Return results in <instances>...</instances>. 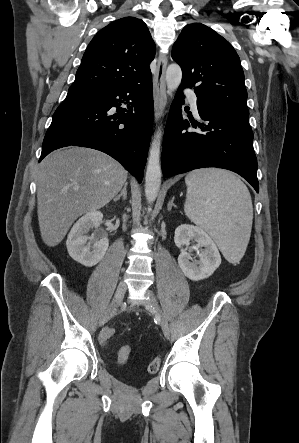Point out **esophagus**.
Wrapping results in <instances>:
<instances>
[{
  "label": "esophagus",
  "mask_w": 299,
  "mask_h": 443,
  "mask_svg": "<svg viewBox=\"0 0 299 443\" xmlns=\"http://www.w3.org/2000/svg\"><path fill=\"white\" fill-rule=\"evenodd\" d=\"M166 66H167V56L164 54H160L158 57L157 71L154 76V83H153L156 121H158L159 118L161 117L166 105V85H165Z\"/></svg>",
  "instance_id": "34e87169"
}]
</instances>
